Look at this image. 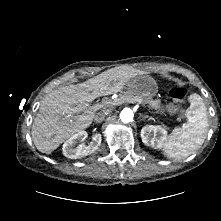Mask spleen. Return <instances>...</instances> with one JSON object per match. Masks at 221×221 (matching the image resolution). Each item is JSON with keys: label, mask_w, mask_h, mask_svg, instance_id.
<instances>
[{"label": "spleen", "mask_w": 221, "mask_h": 221, "mask_svg": "<svg viewBox=\"0 0 221 221\" xmlns=\"http://www.w3.org/2000/svg\"><path fill=\"white\" fill-rule=\"evenodd\" d=\"M190 106L186 111L187 122L173 129L163 145L167 158L181 159L200 147L208 131V114L203 99L196 93L188 97Z\"/></svg>", "instance_id": "spleen-1"}]
</instances>
